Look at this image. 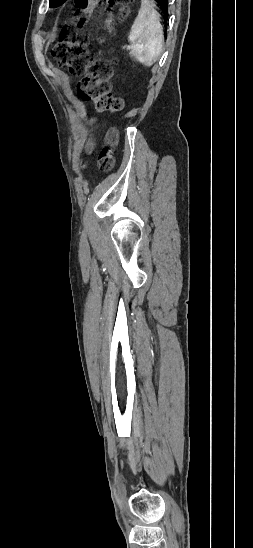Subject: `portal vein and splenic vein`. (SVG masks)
I'll use <instances>...</instances> for the list:
<instances>
[{
	"mask_svg": "<svg viewBox=\"0 0 253 548\" xmlns=\"http://www.w3.org/2000/svg\"><path fill=\"white\" fill-rule=\"evenodd\" d=\"M133 47H134V45L130 44V45H127V46H126V49H127V50H130V49H132Z\"/></svg>",
	"mask_w": 253,
	"mask_h": 548,
	"instance_id": "18ae733b",
	"label": "portal vein and splenic vein"
}]
</instances>
